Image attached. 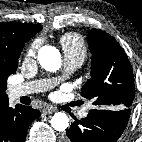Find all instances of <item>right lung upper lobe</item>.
I'll list each match as a JSON object with an SVG mask.
<instances>
[{"mask_svg":"<svg viewBox=\"0 0 142 142\" xmlns=\"http://www.w3.org/2000/svg\"><path fill=\"white\" fill-rule=\"evenodd\" d=\"M42 30V26L27 23L0 22V61L12 63L26 41ZM8 102L5 91L0 89V105Z\"/></svg>","mask_w":142,"mask_h":142,"instance_id":"right-lung-upper-lobe-1","label":"right lung upper lobe"}]
</instances>
